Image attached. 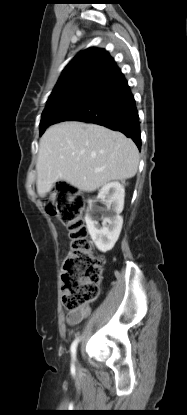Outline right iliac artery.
<instances>
[{"instance_id":"obj_1","label":"right iliac artery","mask_w":187,"mask_h":415,"mask_svg":"<svg viewBox=\"0 0 187 415\" xmlns=\"http://www.w3.org/2000/svg\"><path fill=\"white\" fill-rule=\"evenodd\" d=\"M78 342H79V338L75 339L71 345V355L73 359L76 358V348H77Z\"/></svg>"}]
</instances>
